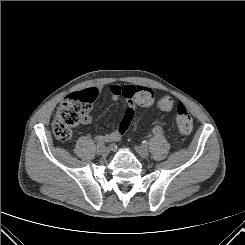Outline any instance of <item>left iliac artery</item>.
Listing matches in <instances>:
<instances>
[{
  "instance_id": "obj_1",
  "label": "left iliac artery",
  "mask_w": 245,
  "mask_h": 245,
  "mask_svg": "<svg viewBox=\"0 0 245 245\" xmlns=\"http://www.w3.org/2000/svg\"><path fill=\"white\" fill-rule=\"evenodd\" d=\"M162 132V129L160 128V127H155L154 129H153V133L154 134H160Z\"/></svg>"
}]
</instances>
